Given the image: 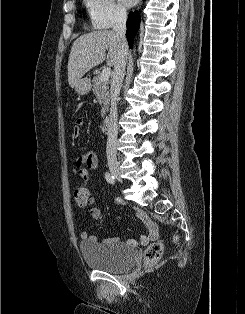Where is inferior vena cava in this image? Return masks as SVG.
Segmentation results:
<instances>
[{
    "instance_id": "602c4592",
    "label": "inferior vena cava",
    "mask_w": 245,
    "mask_h": 314,
    "mask_svg": "<svg viewBox=\"0 0 245 314\" xmlns=\"http://www.w3.org/2000/svg\"><path fill=\"white\" fill-rule=\"evenodd\" d=\"M127 13L125 10H119L114 19L113 31L116 34L120 48L117 60L114 64V72L111 84V108H110V124L108 129V139L106 146L107 160H117V100L125 75L126 59L128 55V44L125 37L126 33Z\"/></svg>"
}]
</instances>
